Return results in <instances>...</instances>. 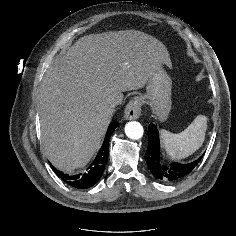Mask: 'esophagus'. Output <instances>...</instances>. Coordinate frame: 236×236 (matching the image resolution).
Masks as SVG:
<instances>
[{
	"label": "esophagus",
	"mask_w": 236,
	"mask_h": 236,
	"mask_svg": "<svg viewBox=\"0 0 236 236\" xmlns=\"http://www.w3.org/2000/svg\"><path fill=\"white\" fill-rule=\"evenodd\" d=\"M141 99L139 97L133 98L125 107L124 117L126 120H135L141 114Z\"/></svg>",
	"instance_id": "1"
}]
</instances>
